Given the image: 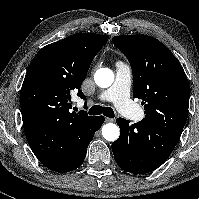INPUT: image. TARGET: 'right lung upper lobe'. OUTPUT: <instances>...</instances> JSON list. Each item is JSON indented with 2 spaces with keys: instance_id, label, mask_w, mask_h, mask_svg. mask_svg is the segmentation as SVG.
I'll use <instances>...</instances> for the list:
<instances>
[{
  "instance_id": "obj_1",
  "label": "right lung upper lobe",
  "mask_w": 199,
  "mask_h": 199,
  "mask_svg": "<svg viewBox=\"0 0 199 199\" xmlns=\"http://www.w3.org/2000/svg\"><path fill=\"white\" fill-rule=\"evenodd\" d=\"M108 38L77 33L43 47L32 60L20 93L23 127L49 137V154L59 155L69 137L95 117L71 113V93L85 99L81 84Z\"/></svg>"
}]
</instances>
